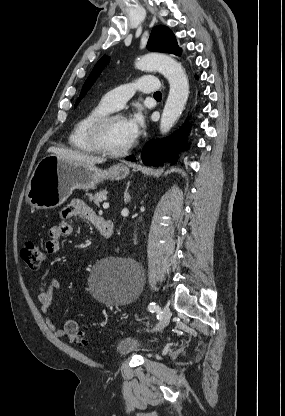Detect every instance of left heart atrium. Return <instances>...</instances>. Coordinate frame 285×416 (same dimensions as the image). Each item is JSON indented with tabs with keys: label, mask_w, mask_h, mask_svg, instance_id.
<instances>
[{
	"label": "left heart atrium",
	"mask_w": 285,
	"mask_h": 416,
	"mask_svg": "<svg viewBox=\"0 0 285 416\" xmlns=\"http://www.w3.org/2000/svg\"><path fill=\"white\" fill-rule=\"evenodd\" d=\"M125 121V131L130 142L135 141L141 133L144 121L139 112H134Z\"/></svg>",
	"instance_id": "39dd6f15"
}]
</instances>
